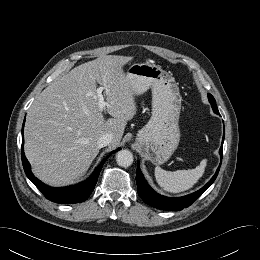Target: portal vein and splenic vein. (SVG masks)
Listing matches in <instances>:
<instances>
[{"mask_svg": "<svg viewBox=\"0 0 260 260\" xmlns=\"http://www.w3.org/2000/svg\"><path fill=\"white\" fill-rule=\"evenodd\" d=\"M103 90H104L103 87H99L96 91V97L98 98V107H99L100 111H103L105 109V107L108 105L102 95Z\"/></svg>", "mask_w": 260, "mask_h": 260, "instance_id": "18ae733b", "label": "portal vein and splenic vein"}]
</instances>
